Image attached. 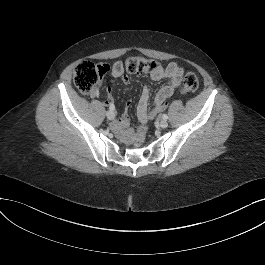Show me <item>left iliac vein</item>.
Segmentation results:
<instances>
[{"label": "left iliac vein", "mask_w": 265, "mask_h": 265, "mask_svg": "<svg viewBox=\"0 0 265 265\" xmlns=\"http://www.w3.org/2000/svg\"><path fill=\"white\" fill-rule=\"evenodd\" d=\"M160 126L162 127V128H166L167 126H168V122L166 121V120H161L160 121Z\"/></svg>", "instance_id": "left-iliac-vein-1"}]
</instances>
